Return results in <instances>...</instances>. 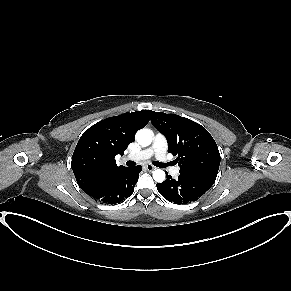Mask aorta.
<instances>
[{"mask_svg": "<svg viewBox=\"0 0 291 291\" xmlns=\"http://www.w3.org/2000/svg\"><path fill=\"white\" fill-rule=\"evenodd\" d=\"M136 140L143 147L149 146L152 142V131L145 128L140 129L136 133ZM153 178L161 183L165 180V172L161 169H156L153 171Z\"/></svg>", "mask_w": 291, "mask_h": 291, "instance_id": "762f6f07", "label": "aorta"}]
</instances>
